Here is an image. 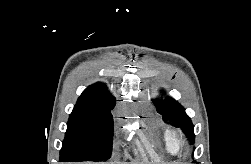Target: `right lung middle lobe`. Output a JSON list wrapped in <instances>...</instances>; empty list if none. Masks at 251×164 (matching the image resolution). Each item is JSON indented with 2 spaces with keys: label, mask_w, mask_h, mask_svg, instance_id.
Listing matches in <instances>:
<instances>
[{
  "label": "right lung middle lobe",
  "mask_w": 251,
  "mask_h": 164,
  "mask_svg": "<svg viewBox=\"0 0 251 164\" xmlns=\"http://www.w3.org/2000/svg\"><path fill=\"white\" fill-rule=\"evenodd\" d=\"M113 107L77 103L69 117L60 160L78 162L109 159L112 152Z\"/></svg>",
  "instance_id": "right-lung-middle-lobe-1"
}]
</instances>
